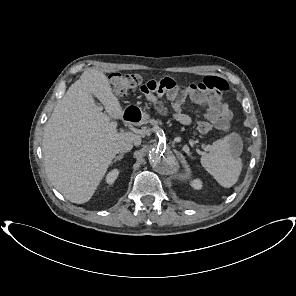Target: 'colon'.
<instances>
[{
	"label": "colon",
	"instance_id": "1",
	"mask_svg": "<svg viewBox=\"0 0 296 296\" xmlns=\"http://www.w3.org/2000/svg\"><path fill=\"white\" fill-rule=\"evenodd\" d=\"M114 91L119 95H124L131 90L136 89L141 84V78L133 73H115L110 78ZM203 119L197 124L199 133L206 135L212 130V123L222 122L224 120V111L220 103L215 101H206L200 105Z\"/></svg>",
	"mask_w": 296,
	"mask_h": 296
}]
</instances>
